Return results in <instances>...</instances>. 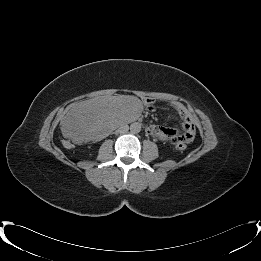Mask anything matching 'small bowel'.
<instances>
[{"label": "small bowel", "instance_id": "1", "mask_svg": "<svg viewBox=\"0 0 261 261\" xmlns=\"http://www.w3.org/2000/svg\"><path fill=\"white\" fill-rule=\"evenodd\" d=\"M152 102H148L151 105ZM173 108L182 120V132L176 129L164 127L161 125L151 124L147 126V131L150 135L160 140L173 142L175 138L180 137L185 142H191L195 137V123L192 116L186 110V108L179 103H173Z\"/></svg>", "mask_w": 261, "mask_h": 261}]
</instances>
